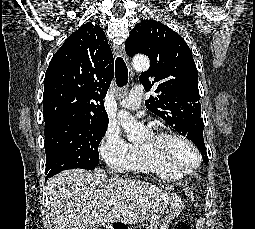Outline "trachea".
Masks as SVG:
<instances>
[{"instance_id":"3493384b","label":"trachea","mask_w":255,"mask_h":229,"mask_svg":"<svg viewBox=\"0 0 255 229\" xmlns=\"http://www.w3.org/2000/svg\"><path fill=\"white\" fill-rule=\"evenodd\" d=\"M116 84L123 87L128 81V69L122 57H117L115 62Z\"/></svg>"}]
</instances>
